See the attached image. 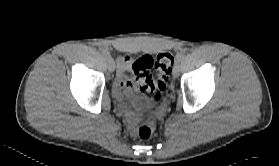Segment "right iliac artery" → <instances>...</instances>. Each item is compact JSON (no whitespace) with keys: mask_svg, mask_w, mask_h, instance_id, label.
I'll list each match as a JSON object with an SVG mask.
<instances>
[{"mask_svg":"<svg viewBox=\"0 0 279 166\" xmlns=\"http://www.w3.org/2000/svg\"><path fill=\"white\" fill-rule=\"evenodd\" d=\"M101 53L106 59L111 58L110 53L107 50L103 49Z\"/></svg>","mask_w":279,"mask_h":166,"instance_id":"82829eb1","label":"right iliac artery"}]
</instances>
